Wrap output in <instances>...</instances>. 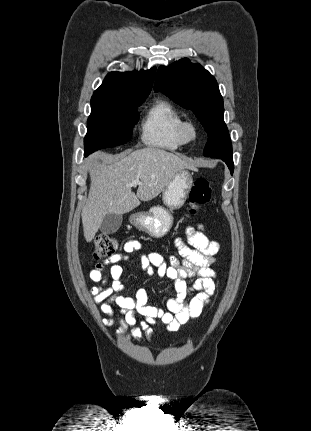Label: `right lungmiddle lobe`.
<instances>
[{"label": "right lung middle lobe", "instance_id": "right-lung-middle-lobe-1", "mask_svg": "<svg viewBox=\"0 0 311 431\" xmlns=\"http://www.w3.org/2000/svg\"><path fill=\"white\" fill-rule=\"evenodd\" d=\"M145 97H113L93 95L87 134L84 138L85 156L102 148L126 143L138 120L137 108Z\"/></svg>", "mask_w": 311, "mask_h": 431}]
</instances>
